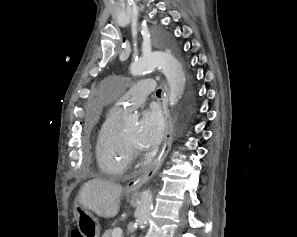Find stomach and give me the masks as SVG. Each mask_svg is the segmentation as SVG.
<instances>
[{"mask_svg":"<svg viewBox=\"0 0 297 237\" xmlns=\"http://www.w3.org/2000/svg\"><path fill=\"white\" fill-rule=\"evenodd\" d=\"M77 226L83 237H99L100 224L87 209L83 206H77L74 211Z\"/></svg>","mask_w":297,"mask_h":237,"instance_id":"1","label":"stomach"}]
</instances>
